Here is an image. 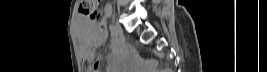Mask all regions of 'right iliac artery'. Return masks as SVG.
<instances>
[{"label":"right iliac artery","instance_id":"82829eb1","mask_svg":"<svg viewBox=\"0 0 267 72\" xmlns=\"http://www.w3.org/2000/svg\"><path fill=\"white\" fill-rule=\"evenodd\" d=\"M110 31H111V35H112L113 37H116V36H117V34L115 33V30H114V28H113L112 25L110 26Z\"/></svg>","mask_w":267,"mask_h":72}]
</instances>
